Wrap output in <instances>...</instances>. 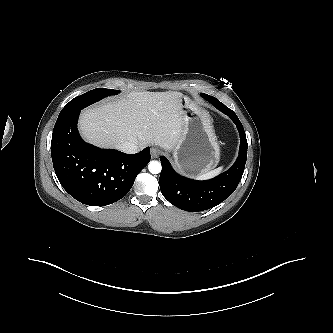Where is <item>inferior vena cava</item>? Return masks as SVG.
Masks as SVG:
<instances>
[{
	"label": "inferior vena cava",
	"mask_w": 333,
	"mask_h": 333,
	"mask_svg": "<svg viewBox=\"0 0 333 333\" xmlns=\"http://www.w3.org/2000/svg\"><path fill=\"white\" fill-rule=\"evenodd\" d=\"M120 150L124 153L134 154L139 151V147L136 143L133 142H124L120 146Z\"/></svg>",
	"instance_id": "1"
}]
</instances>
